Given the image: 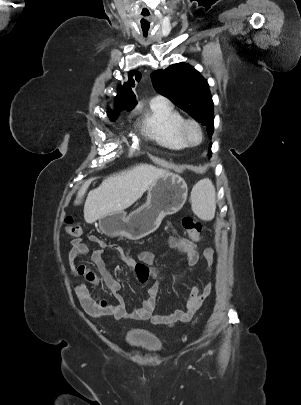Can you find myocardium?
I'll list each match as a JSON object with an SVG mask.
<instances>
[{"label": "myocardium", "mask_w": 301, "mask_h": 405, "mask_svg": "<svg viewBox=\"0 0 301 405\" xmlns=\"http://www.w3.org/2000/svg\"><path fill=\"white\" fill-rule=\"evenodd\" d=\"M189 128H194L199 135L198 141H192L188 135ZM180 135L188 146H197L203 141V130L201 125L194 119H182L179 127Z\"/></svg>", "instance_id": "obj_1"}]
</instances>
